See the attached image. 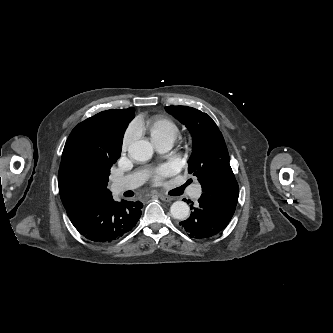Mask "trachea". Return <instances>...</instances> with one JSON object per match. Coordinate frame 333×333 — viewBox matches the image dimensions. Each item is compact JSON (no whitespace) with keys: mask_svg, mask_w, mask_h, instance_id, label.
Instances as JSON below:
<instances>
[{"mask_svg":"<svg viewBox=\"0 0 333 333\" xmlns=\"http://www.w3.org/2000/svg\"><path fill=\"white\" fill-rule=\"evenodd\" d=\"M189 183H186L185 185H183L182 187L179 188L180 193H182V191L184 190V188L188 185Z\"/></svg>","mask_w":333,"mask_h":333,"instance_id":"3493384b","label":"trachea"}]
</instances>
